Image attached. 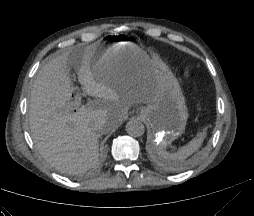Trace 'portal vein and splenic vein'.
Segmentation results:
<instances>
[{
	"instance_id": "18ae733b",
	"label": "portal vein and splenic vein",
	"mask_w": 254,
	"mask_h": 216,
	"mask_svg": "<svg viewBox=\"0 0 254 216\" xmlns=\"http://www.w3.org/2000/svg\"><path fill=\"white\" fill-rule=\"evenodd\" d=\"M68 109L71 110L72 108L78 110L81 107V96L78 95L73 102H70L67 105Z\"/></svg>"
}]
</instances>
